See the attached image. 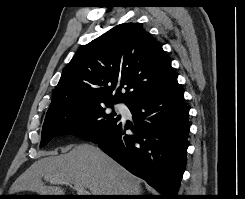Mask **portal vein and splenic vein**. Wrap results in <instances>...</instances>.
Segmentation results:
<instances>
[{
	"mask_svg": "<svg viewBox=\"0 0 245 199\" xmlns=\"http://www.w3.org/2000/svg\"><path fill=\"white\" fill-rule=\"evenodd\" d=\"M64 184V183H61ZM74 189L78 192L79 195H91L82 185L74 184Z\"/></svg>",
	"mask_w": 245,
	"mask_h": 199,
	"instance_id": "obj_1",
	"label": "portal vein and splenic vein"
}]
</instances>
